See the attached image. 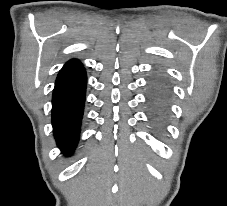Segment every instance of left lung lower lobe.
<instances>
[{
  "mask_svg": "<svg viewBox=\"0 0 227 206\" xmlns=\"http://www.w3.org/2000/svg\"><path fill=\"white\" fill-rule=\"evenodd\" d=\"M170 90L162 73H156L149 82V106L156 128L160 127L161 118L167 110V98Z\"/></svg>",
  "mask_w": 227,
  "mask_h": 206,
  "instance_id": "obj_1",
  "label": "left lung lower lobe"
}]
</instances>
